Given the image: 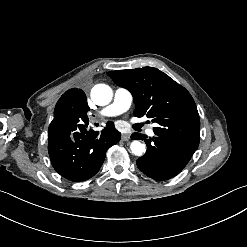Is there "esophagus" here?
I'll use <instances>...</instances> for the list:
<instances>
[{
	"instance_id": "34e87169",
	"label": "esophagus",
	"mask_w": 247,
	"mask_h": 247,
	"mask_svg": "<svg viewBox=\"0 0 247 247\" xmlns=\"http://www.w3.org/2000/svg\"><path fill=\"white\" fill-rule=\"evenodd\" d=\"M121 138H122L123 141H127V140L130 139V134L124 133V134H122V137Z\"/></svg>"
}]
</instances>
